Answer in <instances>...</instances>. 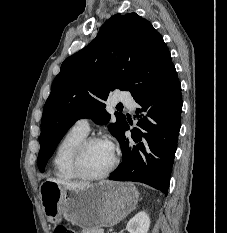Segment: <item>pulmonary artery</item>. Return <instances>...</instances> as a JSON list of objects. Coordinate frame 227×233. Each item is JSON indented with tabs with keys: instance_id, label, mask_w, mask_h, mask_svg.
Wrapping results in <instances>:
<instances>
[{
	"instance_id": "e3ab8cb5",
	"label": "pulmonary artery",
	"mask_w": 227,
	"mask_h": 233,
	"mask_svg": "<svg viewBox=\"0 0 227 233\" xmlns=\"http://www.w3.org/2000/svg\"><path fill=\"white\" fill-rule=\"evenodd\" d=\"M119 101L122 102L124 105H126L131 110L135 107L134 100L128 95H122L119 98ZM73 128L77 129L78 131L88 134L90 131V122L87 118L79 119L75 122V124L73 125Z\"/></svg>"
}]
</instances>
